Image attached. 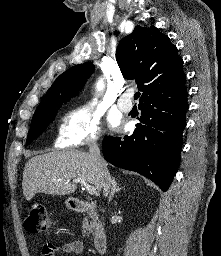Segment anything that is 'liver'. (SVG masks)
I'll return each mask as SVG.
<instances>
[{
    "label": "liver",
    "instance_id": "obj_1",
    "mask_svg": "<svg viewBox=\"0 0 221 256\" xmlns=\"http://www.w3.org/2000/svg\"><path fill=\"white\" fill-rule=\"evenodd\" d=\"M107 169L106 162L102 159ZM82 178L101 191V171L90 153L63 150L32 157L23 171V194L30 201L37 193L69 195L77 185L71 180Z\"/></svg>",
    "mask_w": 221,
    "mask_h": 256
}]
</instances>
